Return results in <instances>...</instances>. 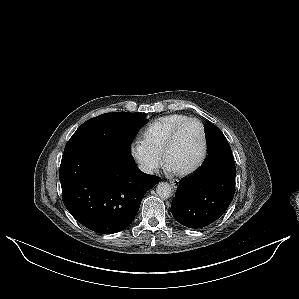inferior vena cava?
<instances>
[{"mask_svg":"<svg viewBox=\"0 0 299 299\" xmlns=\"http://www.w3.org/2000/svg\"><path fill=\"white\" fill-rule=\"evenodd\" d=\"M139 169L147 174H152L153 173V169L151 167H149L148 165L145 164H141L139 165Z\"/></svg>","mask_w":299,"mask_h":299,"instance_id":"602c4592","label":"inferior vena cava"}]
</instances>
